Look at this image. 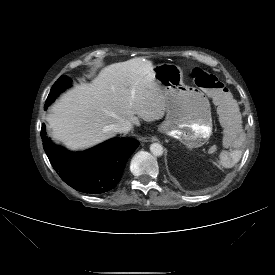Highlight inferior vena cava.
Returning a JSON list of instances; mask_svg holds the SVG:
<instances>
[{
  "label": "inferior vena cava",
  "mask_w": 275,
  "mask_h": 275,
  "mask_svg": "<svg viewBox=\"0 0 275 275\" xmlns=\"http://www.w3.org/2000/svg\"><path fill=\"white\" fill-rule=\"evenodd\" d=\"M131 129L132 123L124 119L110 126V130L114 133H128Z\"/></svg>",
  "instance_id": "obj_1"
}]
</instances>
